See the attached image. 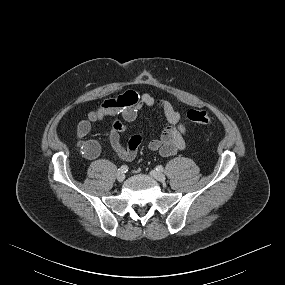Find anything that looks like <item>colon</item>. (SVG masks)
Wrapping results in <instances>:
<instances>
[{
	"label": "colon",
	"mask_w": 285,
	"mask_h": 285,
	"mask_svg": "<svg viewBox=\"0 0 285 285\" xmlns=\"http://www.w3.org/2000/svg\"><path fill=\"white\" fill-rule=\"evenodd\" d=\"M187 118L198 125H208L211 122L209 115L203 110H189L187 112Z\"/></svg>",
	"instance_id": "obj_1"
}]
</instances>
